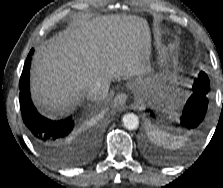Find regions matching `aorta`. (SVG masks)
Segmentation results:
<instances>
[{
	"mask_svg": "<svg viewBox=\"0 0 223 188\" xmlns=\"http://www.w3.org/2000/svg\"><path fill=\"white\" fill-rule=\"evenodd\" d=\"M124 126L128 130H135L139 126V119L134 113H127L122 118Z\"/></svg>",
	"mask_w": 223,
	"mask_h": 188,
	"instance_id": "aorta-1",
	"label": "aorta"
}]
</instances>
